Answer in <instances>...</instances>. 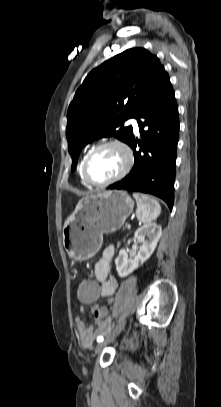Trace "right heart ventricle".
<instances>
[{
	"label": "right heart ventricle",
	"instance_id": "right-heart-ventricle-1",
	"mask_svg": "<svg viewBox=\"0 0 221 407\" xmlns=\"http://www.w3.org/2000/svg\"><path fill=\"white\" fill-rule=\"evenodd\" d=\"M90 150H91V149L87 150V151L82 155V157L80 158L79 164H78V174H79L80 179H81L84 183H87V182L84 180V178H83V176H82V164H83V161H84L86 155L89 153Z\"/></svg>",
	"mask_w": 221,
	"mask_h": 407
}]
</instances>
